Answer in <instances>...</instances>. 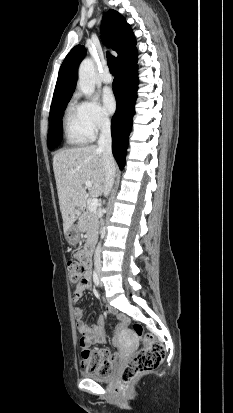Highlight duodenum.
I'll return each mask as SVG.
<instances>
[{
  "mask_svg": "<svg viewBox=\"0 0 233 413\" xmlns=\"http://www.w3.org/2000/svg\"><path fill=\"white\" fill-rule=\"evenodd\" d=\"M92 250H93V242L88 241L86 246H85V249H84V257H85L86 260L89 259L90 255L92 253Z\"/></svg>",
  "mask_w": 233,
  "mask_h": 413,
  "instance_id": "410a0bca",
  "label": "duodenum"
}]
</instances>
